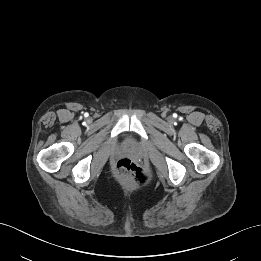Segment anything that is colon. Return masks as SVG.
I'll return each instance as SVG.
<instances>
[{
    "label": "colon",
    "instance_id": "1",
    "mask_svg": "<svg viewBox=\"0 0 261 261\" xmlns=\"http://www.w3.org/2000/svg\"><path fill=\"white\" fill-rule=\"evenodd\" d=\"M115 171L117 178L128 185L141 184L145 181L143 170L128 158L120 159Z\"/></svg>",
    "mask_w": 261,
    "mask_h": 261
}]
</instances>
